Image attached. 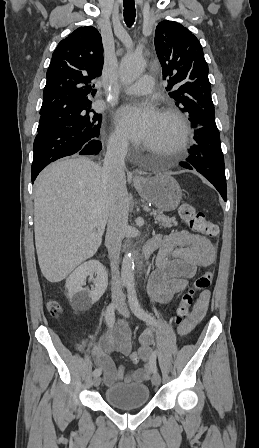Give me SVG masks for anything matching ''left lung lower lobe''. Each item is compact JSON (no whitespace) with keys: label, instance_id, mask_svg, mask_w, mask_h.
Wrapping results in <instances>:
<instances>
[{"label":"left lung lower lobe","instance_id":"1","mask_svg":"<svg viewBox=\"0 0 259 448\" xmlns=\"http://www.w3.org/2000/svg\"><path fill=\"white\" fill-rule=\"evenodd\" d=\"M194 139L196 144L188 150L189 157L180 162V165L187 169H196L214 185L226 201L224 156L217 126L196 128Z\"/></svg>","mask_w":259,"mask_h":448}]
</instances>
